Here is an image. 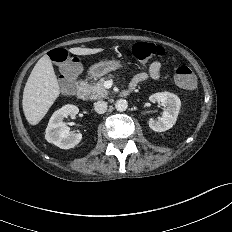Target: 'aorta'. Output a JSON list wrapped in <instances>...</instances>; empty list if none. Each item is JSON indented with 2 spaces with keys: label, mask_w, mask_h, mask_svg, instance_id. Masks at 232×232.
Here are the masks:
<instances>
[{
  "label": "aorta",
  "mask_w": 232,
  "mask_h": 232,
  "mask_svg": "<svg viewBox=\"0 0 232 232\" xmlns=\"http://www.w3.org/2000/svg\"><path fill=\"white\" fill-rule=\"evenodd\" d=\"M115 108L119 112H123L128 108V102L124 99H120L116 102Z\"/></svg>",
  "instance_id": "762f6f07"
}]
</instances>
